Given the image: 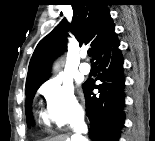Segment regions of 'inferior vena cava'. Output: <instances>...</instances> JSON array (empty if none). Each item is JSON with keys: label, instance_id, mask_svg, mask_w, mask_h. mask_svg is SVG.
Returning a JSON list of instances; mask_svg holds the SVG:
<instances>
[{"label": "inferior vena cava", "instance_id": "inferior-vena-cava-1", "mask_svg": "<svg viewBox=\"0 0 155 141\" xmlns=\"http://www.w3.org/2000/svg\"><path fill=\"white\" fill-rule=\"evenodd\" d=\"M81 122H83V119L80 120V123L74 126V131L76 132V134L71 139H75V141H79L82 138L81 133H84L86 131L85 126L80 125Z\"/></svg>", "mask_w": 155, "mask_h": 141}]
</instances>
